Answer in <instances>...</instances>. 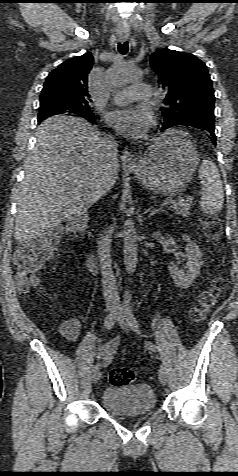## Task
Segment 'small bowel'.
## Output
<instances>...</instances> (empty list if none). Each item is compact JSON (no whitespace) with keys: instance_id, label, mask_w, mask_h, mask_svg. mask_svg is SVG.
<instances>
[{"instance_id":"obj_1","label":"small bowel","mask_w":238,"mask_h":476,"mask_svg":"<svg viewBox=\"0 0 238 476\" xmlns=\"http://www.w3.org/2000/svg\"><path fill=\"white\" fill-rule=\"evenodd\" d=\"M80 325L77 319L69 318L64 321L60 326L61 333L69 340L77 339L79 335ZM119 338H114L113 340L99 345L96 350V358L99 365L107 364L110 362L113 353L116 351L119 345Z\"/></svg>"}]
</instances>
